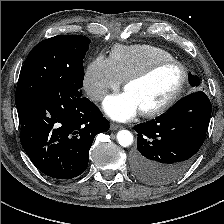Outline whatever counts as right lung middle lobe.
I'll return each instance as SVG.
<instances>
[{
    "label": "right lung middle lobe",
    "instance_id": "dd1d6c3e",
    "mask_svg": "<svg viewBox=\"0 0 224 224\" xmlns=\"http://www.w3.org/2000/svg\"><path fill=\"white\" fill-rule=\"evenodd\" d=\"M90 39L80 35H57L38 43L20 71L15 102L49 90L81 94L83 59Z\"/></svg>",
    "mask_w": 224,
    "mask_h": 224
}]
</instances>
